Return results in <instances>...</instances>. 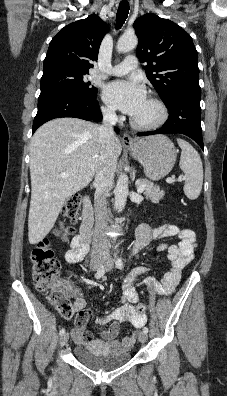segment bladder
<instances>
[{
    "label": "bladder",
    "instance_id": "obj_1",
    "mask_svg": "<svg viewBox=\"0 0 227 396\" xmlns=\"http://www.w3.org/2000/svg\"><path fill=\"white\" fill-rule=\"evenodd\" d=\"M76 359L84 366L96 371H110L125 365L131 358L127 351L109 352L94 343L79 344L74 347Z\"/></svg>",
    "mask_w": 227,
    "mask_h": 396
}]
</instances>
